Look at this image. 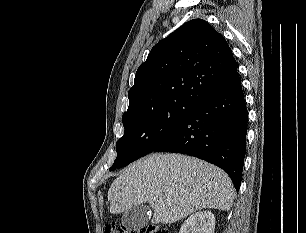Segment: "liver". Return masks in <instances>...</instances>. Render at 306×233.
Masks as SVG:
<instances>
[{
    "label": "liver",
    "instance_id": "obj_1",
    "mask_svg": "<svg viewBox=\"0 0 306 233\" xmlns=\"http://www.w3.org/2000/svg\"><path fill=\"white\" fill-rule=\"evenodd\" d=\"M234 195L220 168L195 157L157 153L129 165L108 190L111 213L149 203L153 224H171L205 208L228 211Z\"/></svg>",
    "mask_w": 306,
    "mask_h": 233
}]
</instances>
